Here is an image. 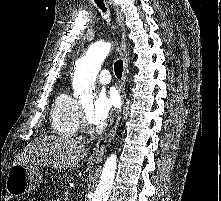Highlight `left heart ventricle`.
Here are the masks:
<instances>
[{"instance_id":"obj_1","label":"left heart ventricle","mask_w":221,"mask_h":201,"mask_svg":"<svg viewBox=\"0 0 221 201\" xmlns=\"http://www.w3.org/2000/svg\"><path fill=\"white\" fill-rule=\"evenodd\" d=\"M91 106H92V103L91 102H88V103H85L84 104V109L89 117V120L93 123V124H96L98 125V123H96L95 121L92 120V118L90 117V109H91Z\"/></svg>"}]
</instances>
